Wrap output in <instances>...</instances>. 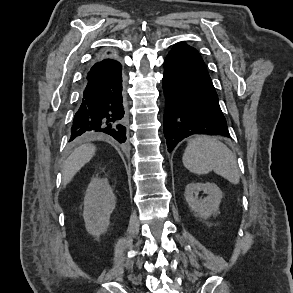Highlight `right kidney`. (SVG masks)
Masks as SVG:
<instances>
[{"label": "right kidney", "instance_id": "obj_1", "mask_svg": "<svg viewBox=\"0 0 293 293\" xmlns=\"http://www.w3.org/2000/svg\"><path fill=\"white\" fill-rule=\"evenodd\" d=\"M116 206V197L106 178L91 180L84 198L83 218L86 230L99 238L110 225V215Z\"/></svg>", "mask_w": 293, "mask_h": 293}]
</instances>
